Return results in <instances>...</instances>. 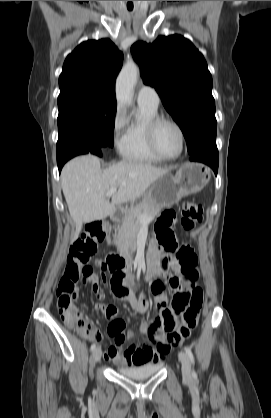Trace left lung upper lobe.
Segmentation results:
<instances>
[{"mask_svg":"<svg viewBox=\"0 0 271 418\" xmlns=\"http://www.w3.org/2000/svg\"><path fill=\"white\" fill-rule=\"evenodd\" d=\"M145 84L155 87L181 128L190 155L216 146L212 76L203 55L181 35L159 36L131 48Z\"/></svg>","mask_w":271,"mask_h":418,"instance_id":"1","label":"left lung upper lobe"}]
</instances>
